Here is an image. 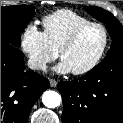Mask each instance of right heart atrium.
<instances>
[{
  "label": "right heart atrium",
  "instance_id": "obj_1",
  "mask_svg": "<svg viewBox=\"0 0 123 123\" xmlns=\"http://www.w3.org/2000/svg\"><path fill=\"white\" fill-rule=\"evenodd\" d=\"M19 44L27 57L29 66L36 71L45 70L48 62L56 57L43 31L33 23L25 26L20 35Z\"/></svg>",
  "mask_w": 123,
  "mask_h": 123
}]
</instances>
